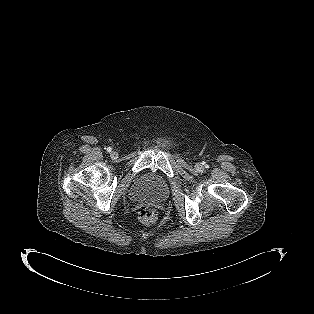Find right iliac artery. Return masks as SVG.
<instances>
[{"label": "right iliac artery", "mask_w": 314, "mask_h": 314, "mask_svg": "<svg viewBox=\"0 0 314 314\" xmlns=\"http://www.w3.org/2000/svg\"><path fill=\"white\" fill-rule=\"evenodd\" d=\"M106 150H107V152H111L112 148L111 147H107Z\"/></svg>", "instance_id": "82829eb1"}]
</instances>
